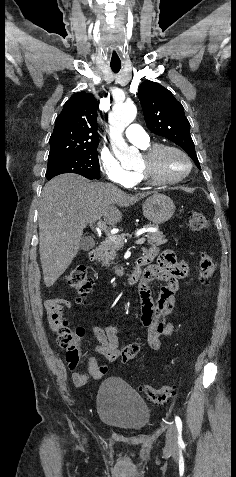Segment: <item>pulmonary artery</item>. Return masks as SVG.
Returning <instances> with one entry per match:
<instances>
[{"instance_id": "e3ab8cb5", "label": "pulmonary artery", "mask_w": 236, "mask_h": 477, "mask_svg": "<svg viewBox=\"0 0 236 477\" xmlns=\"http://www.w3.org/2000/svg\"><path fill=\"white\" fill-rule=\"evenodd\" d=\"M127 139L138 145L144 147L149 144V136L146 131L138 124H130L125 130Z\"/></svg>"}]
</instances>
